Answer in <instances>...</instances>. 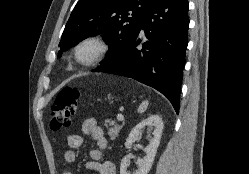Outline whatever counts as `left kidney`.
<instances>
[{"instance_id": "5707ae66", "label": "left kidney", "mask_w": 249, "mask_h": 174, "mask_svg": "<svg viewBox=\"0 0 249 174\" xmlns=\"http://www.w3.org/2000/svg\"><path fill=\"white\" fill-rule=\"evenodd\" d=\"M146 126L154 127L153 138L151 139L150 144L144 148L146 156L143 159L137 160L138 170H136L134 174H148V172L150 171L152 167V164H153L156 152H157V148L160 144L161 134L163 130V122H162V119L158 115H151L147 119L138 123L132 129L129 137L127 138L125 142V147L127 149H130L132 144L141 138L142 130ZM128 166H129L128 159L127 157H124L121 160L120 174H130L127 171Z\"/></svg>"}]
</instances>
